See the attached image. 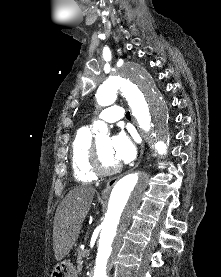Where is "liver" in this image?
<instances>
[{
	"label": "liver",
	"instance_id": "liver-1",
	"mask_svg": "<svg viewBox=\"0 0 221 277\" xmlns=\"http://www.w3.org/2000/svg\"><path fill=\"white\" fill-rule=\"evenodd\" d=\"M95 192L91 186H78L57 207L53 224V250L57 260L66 257L73 248Z\"/></svg>",
	"mask_w": 221,
	"mask_h": 277
}]
</instances>
